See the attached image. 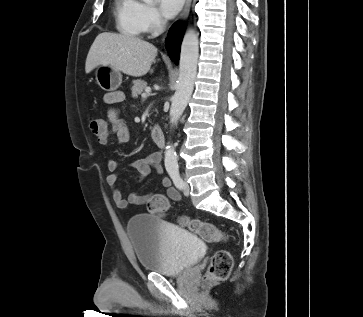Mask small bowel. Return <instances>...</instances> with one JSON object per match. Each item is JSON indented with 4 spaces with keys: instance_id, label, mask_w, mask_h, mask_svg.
I'll list each match as a JSON object with an SVG mask.
<instances>
[{
    "instance_id": "small-bowel-1",
    "label": "small bowel",
    "mask_w": 363,
    "mask_h": 317,
    "mask_svg": "<svg viewBox=\"0 0 363 317\" xmlns=\"http://www.w3.org/2000/svg\"><path fill=\"white\" fill-rule=\"evenodd\" d=\"M124 100V94L121 91H111L104 95V101L109 105H116ZM105 123V122H104ZM115 137L118 144H126L131 140V133L129 128L125 125L124 121L119 118L118 110L111 108L108 111V121L105 123V131L97 136L98 142L101 145L109 143L111 137ZM119 166V162L116 159H109L107 162V168L109 174L107 175V184L112 189V197L115 205L119 209H126L130 204L132 205H145L154 199H163L168 209V199L178 201L181 198V194L171 186V181L167 177L162 179V185L166 188V196L162 194H139L132 193L125 198L119 189L116 187L118 176L116 170ZM129 167L138 171L140 178H146L152 170L157 173L162 172L161 167V154L153 152L146 157L132 160L129 163Z\"/></svg>"
}]
</instances>
